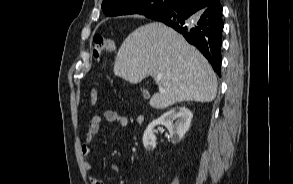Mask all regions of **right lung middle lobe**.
I'll return each mask as SVG.
<instances>
[{
    "label": "right lung middle lobe",
    "mask_w": 293,
    "mask_h": 184,
    "mask_svg": "<svg viewBox=\"0 0 293 184\" xmlns=\"http://www.w3.org/2000/svg\"><path fill=\"white\" fill-rule=\"evenodd\" d=\"M165 7V3L164 1L158 2L156 4H153L152 7L145 12L146 14L149 15V17H154L155 15H157L163 8Z\"/></svg>",
    "instance_id": "1"
}]
</instances>
